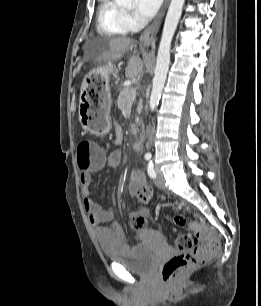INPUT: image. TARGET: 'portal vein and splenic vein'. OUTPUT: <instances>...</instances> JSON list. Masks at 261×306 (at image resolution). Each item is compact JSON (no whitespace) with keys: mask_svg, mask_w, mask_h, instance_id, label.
<instances>
[{"mask_svg":"<svg viewBox=\"0 0 261 306\" xmlns=\"http://www.w3.org/2000/svg\"><path fill=\"white\" fill-rule=\"evenodd\" d=\"M132 92H133V95H136V89L135 88H133Z\"/></svg>","mask_w":261,"mask_h":306,"instance_id":"1","label":"portal vein and splenic vein"}]
</instances>
